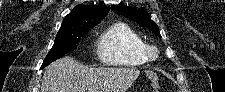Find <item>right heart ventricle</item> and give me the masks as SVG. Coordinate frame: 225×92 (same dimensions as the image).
I'll use <instances>...</instances> for the list:
<instances>
[{
    "label": "right heart ventricle",
    "instance_id": "e07e8e85",
    "mask_svg": "<svg viewBox=\"0 0 225 92\" xmlns=\"http://www.w3.org/2000/svg\"><path fill=\"white\" fill-rule=\"evenodd\" d=\"M144 38L126 23H115L98 40V55L108 65H141L148 59Z\"/></svg>",
    "mask_w": 225,
    "mask_h": 92
}]
</instances>
